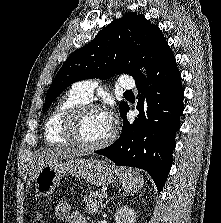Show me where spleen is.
Returning <instances> with one entry per match:
<instances>
[{
    "label": "spleen",
    "instance_id": "spleen-1",
    "mask_svg": "<svg viewBox=\"0 0 221 223\" xmlns=\"http://www.w3.org/2000/svg\"><path fill=\"white\" fill-rule=\"evenodd\" d=\"M116 173L123 189L128 193H135L144 184V178L131 168H117Z\"/></svg>",
    "mask_w": 221,
    "mask_h": 223
}]
</instances>
